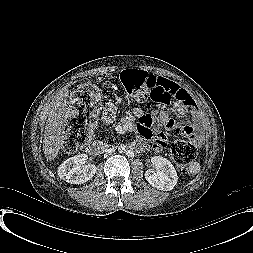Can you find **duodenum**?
<instances>
[{
	"label": "duodenum",
	"mask_w": 253,
	"mask_h": 253,
	"mask_svg": "<svg viewBox=\"0 0 253 253\" xmlns=\"http://www.w3.org/2000/svg\"><path fill=\"white\" fill-rule=\"evenodd\" d=\"M104 149V146L99 143H92L89 146L88 153L92 156L99 155Z\"/></svg>",
	"instance_id": "duodenum-1"
}]
</instances>
